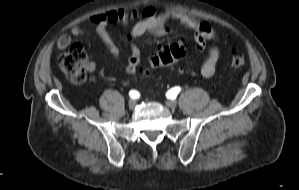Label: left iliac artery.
I'll return each instance as SVG.
<instances>
[{
	"instance_id": "left-iliac-artery-1",
	"label": "left iliac artery",
	"mask_w": 299,
	"mask_h": 190,
	"mask_svg": "<svg viewBox=\"0 0 299 190\" xmlns=\"http://www.w3.org/2000/svg\"><path fill=\"white\" fill-rule=\"evenodd\" d=\"M181 91V88L180 87H174L172 89H170L167 93H166V96L167 98L169 99H174L176 98L177 94Z\"/></svg>"
}]
</instances>
